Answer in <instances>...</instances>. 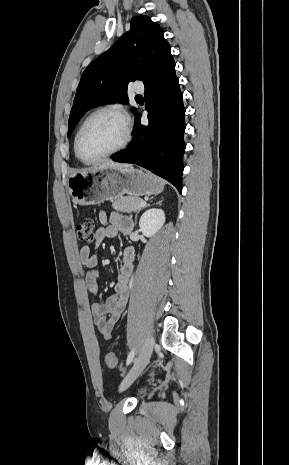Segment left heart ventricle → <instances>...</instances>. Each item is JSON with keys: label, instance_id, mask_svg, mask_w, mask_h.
Here are the masks:
<instances>
[{"label": "left heart ventricle", "instance_id": "obj_1", "mask_svg": "<svg viewBox=\"0 0 289 465\" xmlns=\"http://www.w3.org/2000/svg\"><path fill=\"white\" fill-rule=\"evenodd\" d=\"M125 135L123 121L114 115L100 114L93 117L85 126L80 152L86 159H94L113 150L121 144Z\"/></svg>", "mask_w": 289, "mask_h": 465}]
</instances>
